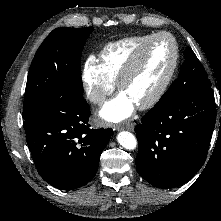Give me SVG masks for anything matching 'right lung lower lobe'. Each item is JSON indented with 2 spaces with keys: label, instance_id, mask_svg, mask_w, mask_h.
<instances>
[{
  "label": "right lung lower lobe",
  "instance_id": "right-lung-lower-lobe-1",
  "mask_svg": "<svg viewBox=\"0 0 221 221\" xmlns=\"http://www.w3.org/2000/svg\"><path fill=\"white\" fill-rule=\"evenodd\" d=\"M82 95L65 94L40 105L24 120L26 141L40 176L61 190L86 185L96 174L112 129H90Z\"/></svg>",
  "mask_w": 221,
  "mask_h": 221
}]
</instances>
